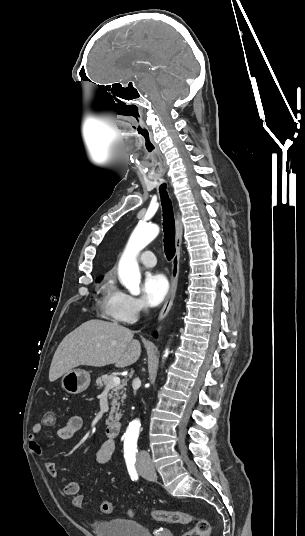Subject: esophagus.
<instances>
[{
    "label": "esophagus",
    "mask_w": 305,
    "mask_h": 536,
    "mask_svg": "<svg viewBox=\"0 0 305 536\" xmlns=\"http://www.w3.org/2000/svg\"><path fill=\"white\" fill-rule=\"evenodd\" d=\"M175 255L172 259V273H171V286L169 292L165 298L164 305L159 313V320H162L169 312L172 307L175 294L177 291L178 277H179V264H180V248L182 242V233L183 226L181 221L180 212L176 213V224H175Z\"/></svg>",
    "instance_id": "obj_1"
}]
</instances>
